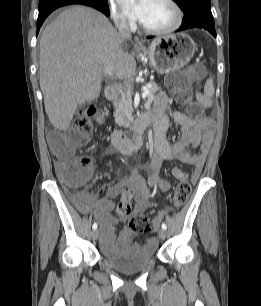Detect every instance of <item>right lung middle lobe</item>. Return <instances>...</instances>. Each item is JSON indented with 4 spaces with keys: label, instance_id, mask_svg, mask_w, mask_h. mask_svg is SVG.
Returning a JSON list of instances; mask_svg holds the SVG:
<instances>
[{
    "label": "right lung middle lobe",
    "instance_id": "right-lung-middle-lobe-1",
    "mask_svg": "<svg viewBox=\"0 0 261 306\" xmlns=\"http://www.w3.org/2000/svg\"><path fill=\"white\" fill-rule=\"evenodd\" d=\"M93 1H96V2H99V3H102V4H107L108 0H93Z\"/></svg>",
    "mask_w": 261,
    "mask_h": 306
}]
</instances>
